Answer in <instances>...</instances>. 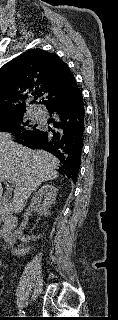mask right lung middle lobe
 <instances>
[{
  "label": "right lung middle lobe",
  "mask_w": 118,
  "mask_h": 320,
  "mask_svg": "<svg viewBox=\"0 0 118 320\" xmlns=\"http://www.w3.org/2000/svg\"><path fill=\"white\" fill-rule=\"evenodd\" d=\"M38 130L37 125L30 124L23 117L10 116L0 119V131L13 134L16 141L19 138L35 134Z\"/></svg>",
  "instance_id": "obj_1"
}]
</instances>
